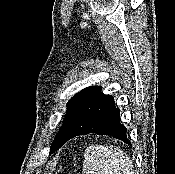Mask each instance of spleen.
<instances>
[{
    "label": "spleen",
    "mask_w": 175,
    "mask_h": 174,
    "mask_svg": "<svg viewBox=\"0 0 175 174\" xmlns=\"http://www.w3.org/2000/svg\"><path fill=\"white\" fill-rule=\"evenodd\" d=\"M85 174H134L133 163L119 148L91 145L84 153Z\"/></svg>",
    "instance_id": "1"
}]
</instances>
